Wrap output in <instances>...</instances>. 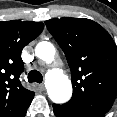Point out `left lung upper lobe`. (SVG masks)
Here are the masks:
<instances>
[{
    "label": "left lung upper lobe",
    "instance_id": "5c2ea615",
    "mask_svg": "<svg viewBox=\"0 0 117 117\" xmlns=\"http://www.w3.org/2000/svg\"><path fill=\"white\" fill-rule=\"evenodd\" d=\"M67 58L73 84L67 107L103 116L117 95V46L109 33L84 18L45 21Z\"/></svg>",
    "mask_w": 117,
    "mask_h": 117
}]
</instances>
